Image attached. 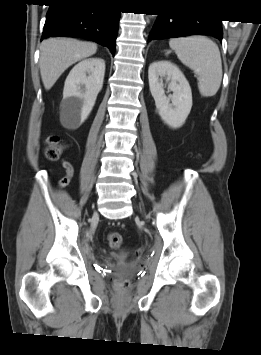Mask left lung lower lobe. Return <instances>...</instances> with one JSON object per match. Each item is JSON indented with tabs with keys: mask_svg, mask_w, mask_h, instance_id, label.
I'll use <instances>...</instances> for the list:
<instances>
[{
	"mask_svg": "<svg viewBox=\"0 0 261 355\" xmlns=\"http://www.w3.org/2000/svg\"><path fill=\"white\" fill-rule=\"evenodd\" d=\"M189 35L223 37L221 20L186 16L158 15L148 41L155 38H176Z\"/></svg>",
	"mask_w": 261,
	"mask_h": 355,
	"instance_id": "0a47b994",
	"label": "left lung lower lobe"
}]
</instances>
